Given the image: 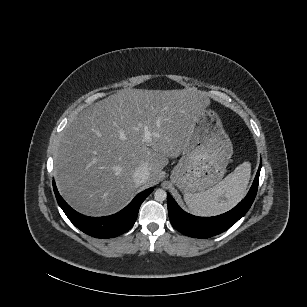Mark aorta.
Masks as SVG:
<instances>
[{
	"label": "aorta",
	"instance_id": "obj_1",
	"mask_svg": "<svg viewBox=\"0 0 307 307\" xmlns=\"http://www.w3.org/2000/svg\"><path fill=\"white\" fill-rule=\"evenodd\" d=\"M167 197L166 191L163 189H157L154 193V198L156 201H163Z\"/></svg>",
	"mask_w": 307,
	"mask_h": 307
}]
</instances>
